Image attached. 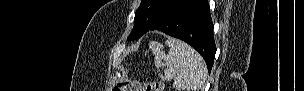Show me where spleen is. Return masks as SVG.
I'll use <instances>...</instances> for the list:
<instances>
[{"mask_svg": "<svg viewBox=\"0 0 304 91\" xmlns=\"http://www.w3.org/2000/svg\"><path fill=\"white\" fill-rule=\"evenodd\" d=\"M166 45L170 48L167 55L162 51L160 43L153 42L150 45L155 56V66L158 69L167 66L164 69V77L173 80V86L178 91H196L201 88L207 77L203 58L181 40L168 38Z\"/></svg>", "mask_w": 304, "mask_h": 91, "instance_id": "3e777b00", "label": "spleen"}]
</instances>
